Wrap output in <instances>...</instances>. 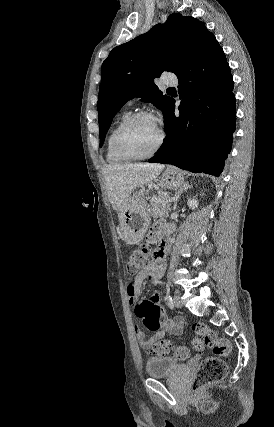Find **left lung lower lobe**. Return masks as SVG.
Here are the masks:
<instances>
[{
	"mask_svg": "<svg viewBox=\"0 0 274 427\" xmlns=\"http://www.w3.org/2000/svg\"><path fill=\"white\" fill-rule=\"evenodd\" d=\"M177 77L180 114L175 115L171 99L163 113L166 139L148 162L218 177L231 150L236 109L230 68L215 37L200 46Z\"/></svg>",
	"mask_w": 274,
	"mask_h": 427,
	"instance_id": "1",
	"label": "left lung lower lobe"
}]
</instances>
